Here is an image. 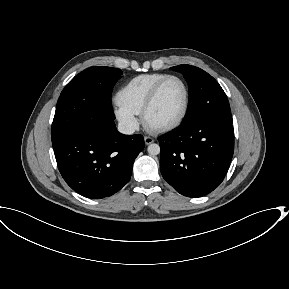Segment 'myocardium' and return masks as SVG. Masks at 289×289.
I'll return each mask as SVG.
<instances>
[{"instance_id": "f54148a6", "label": "myocardium", "mask_w": 289, "mask_h": 289, "mask_svg": "<svg viewBox=\"0 0 289 289\" xmlns=\"http://www.w3.org/2000/svg\"><path fill=\"white\" fill-rule=\"evenodd\" d=\"M172 79L179 81L181 83V85L183 86L184 94H185L183 109H182L180 115L174 121H172L168 124H165V125H161V126H151L147 120L148 114H149L153 104L155 103V100H156L162 86L167 81L172 80ZM189 106H190V90H189V87H188L186 81L177 75H167L164 78H162L160 81H158L151 89V91L148 94L146 101L142 107L141 118H142L144 125L146 127H148L150 130L155 131V132H166V131H170V130L175 129L182 124V122L184 121V119L187 116Z\"/></svg>"}]
</instances>
